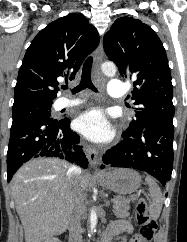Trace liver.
Listing matches in <instances>:
<instances>
[{
    "instance_id": "obj_1",
    "label": "liver",
    "mask_w": 187,
    "mask_h": 242,
    "mask_svg": "<svg viewBox=\"0 0 187 242\" xmlns=\"http://www.w3.org/2000/svg\"><path fill=\"white\" fill-rule=\"evenodd\" d=\"M68 169L66 161L38 158L24 164L12 178V196L25 242H48L69 227L75 188L85 194L90 175L84 172L72 181Z\"/></svg>"
}]
</instances>
